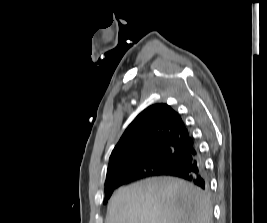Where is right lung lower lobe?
<instances>
[{
    "instance_id": "98d812e1",
    "label": "right lung lower lobe",
    "mask_w": 267,
    "mask_h": 223,
    "mask_svg": "<svg viewBox=\"0 0 267 223\" xmlns=\"http://www.w3.org/2000/svg\"><path fill=\"white\" fill-rule=\"evenodd\" d=\"M151 176H173L187 180L202 189L207 187L203 160L194 143L164 172L155 174L147 171L133 170L117 174L106 180L105 192L112 193L114 189L123 184Z\"/></svg>"
}]
</instances>
